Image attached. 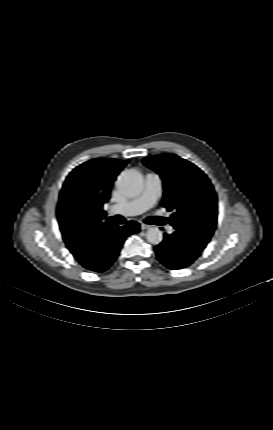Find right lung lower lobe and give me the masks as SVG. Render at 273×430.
Instances as JSON below:
<instances>
[{"label":"right lung lower lobe","instance_id":"obj_1","mask_svg":"<svg viewBox=\"0 0 273 430\" xmlns=\"http://www.w3.org/2000/svg\"><path fill=\"white\" fill-rule=\"evenodd\" d=\"M139 231L140 225L135 221L125 226L111 223L97 228L88 243V251L76 259L88 270L104 272L117 259L126 237Z\"/></svg>","mask_w":273,"mask_h":430}]
</instances>
